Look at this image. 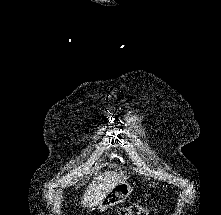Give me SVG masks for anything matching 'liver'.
Here are the masks:
<instances>
[{
	"label": "liver",
	"mask_w": 221,
	"mask_h": 215,
	"mask_svg": "<svg viewBox=\"0 0 221 215\" xmlns=\"http://www.w3.org/2000/svg\"><path fill=\"white\" fill-rule=\"evenodd\" d=\"M123 172L107 171L98 175L87 187L83 194L81 205L91 208L98 206L105 196L118 184L127 180Z\"/></svg>",
	"instance_id": "liver-1"
}]
</instances>
